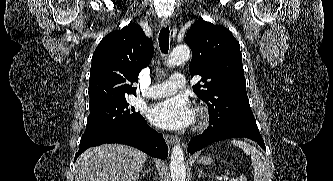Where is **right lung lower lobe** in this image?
<instances>
[{
  "label": "right lung lower lobe",
  "mask_w": 333,
  "mask_h": 181,
  "mask_svg": "<svg viewBox=\"0 0 333 181\" xmlns=\"http://www.w3.org/2000/svg\"><path fill=\"white\" fill-rule=\"evenodd\" d=\"M104 143L125 144L138 148L152 157L167 158L168 147L163 136L151 129L143 117L126 127L82 136L75 158L89 147Z\"/></svg>",
  "instance_id": "obj_1"
}]
</instances>
